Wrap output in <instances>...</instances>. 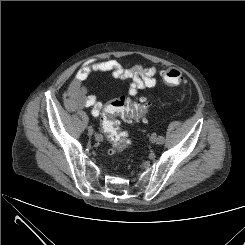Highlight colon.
<instances>
[{
    "label": "colon",
    "mask_w": 245,
    "mask_h": 245,
    "mask_svg": "<svg viewBox=\"0 0 245 245\" xmlns=\"http://www.w3.org/2000/svg\"><path fill=\"white\" fill-rule=\"evenodd\" d=\"M166 84L177 86L184 82V76L176 68H169L163 72ZM149 101L145 97H120L108 103L102 113L101 124L109 142V154L124 152L129 146V135L120 128L118 117L126 121H139L148 111Z\"/></svg>",
    "instance_id": "colon-1"
}]
</instances>
